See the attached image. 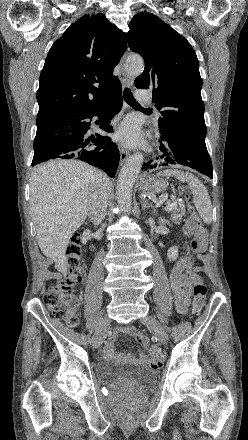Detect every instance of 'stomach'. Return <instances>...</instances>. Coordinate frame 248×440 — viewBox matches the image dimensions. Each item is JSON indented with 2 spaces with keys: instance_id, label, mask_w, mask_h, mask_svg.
<instances>
[{
  "instance_id": "stomach-1",
  "label": "stomach",
  "mask_w": 248,
  "mask_h": 440,
  "mask_svg": "<svg viewBox=\"0 0 248 440\" xmlns=\"http://www.w3.org/2000/svg\"><path fill=\"white\" fill-rule=\"evenodd\" d=\"M139 189L147 194L162 193L167 188V184L160 178L146 176L138 182Z\"/></svg>"
}]
</instances>
